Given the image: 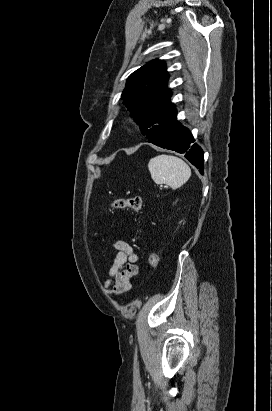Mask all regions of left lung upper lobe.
I'll list each match as a JSON object with an SVG mask.
<instances>
[{"label": "left lung upper lobe", "instance_id": "obj_1", "mask_svg": "<svg viewBox=\"0 0 272 411\" xmlns=\"http://www.w3.org/2000/svg\"><path fill=\"white\" fill-rule=\"evenodd\" d=\"M167 82L164 62L153 60L129 76L121 95L123 104L147 137L177 113L170 102L172 92L168 89Z\"/></svg>", "mask_w": 272, "mask_h": 411}]
</instances>
